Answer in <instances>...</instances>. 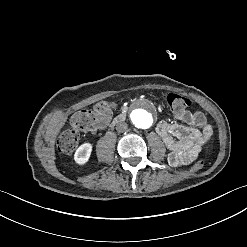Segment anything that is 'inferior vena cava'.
Here are the masks:
<instances>
[{"label": "inferior vena cava", "instance_id": "602c4592", "mask_svg": "<svg viewBox=\"0 0 247 247\" xmlns=\"http://www.w3.org/2000/svg\"><path fill=\"white\" fill-rule=\"evenodd\" d=\"M127 127H128L127 123L119 122L116 125V130L117 132H125L127 130Z\"/></svg>", "mask_w": 247, "mask_h": 247}]
</instances>
